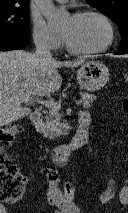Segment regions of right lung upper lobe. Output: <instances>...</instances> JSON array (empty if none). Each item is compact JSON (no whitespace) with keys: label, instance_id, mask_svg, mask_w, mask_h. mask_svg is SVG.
I'll use <instances>...</instances> for the list:
<instances>
[{"label":"right lung upper lobe","instance_id":"obj_1","mask_svg":"<svg viewBox=\"0 0 128 213\" xmlns=\"http://www.w3.org/2000/svg\"><path fill=\"white\" fill-rule=\"evenodd\" d=\"M29 5V0H0V6Z\"/></svg>","mask_w":128,"mask_h":213}]
</instances>
